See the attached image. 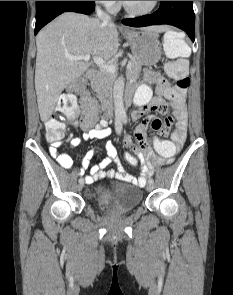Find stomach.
Instances as JSON below:
<instances>
[{
    "mask_svg": "<svg viewBox=\"0 0 233 295\" xmlns=\"http://www.w3.org/2000/svg\"><path fill=\"white\" fill-rule=\"evenodd\" d=\"M158 33L152 27L140 31L128 30L123 33L131 45L134 58L142 65L152 66L161 59L162 49Z\"/></svg>",
    "mask_w": 233,
    "mask_h": 295,
    "instance_id": "stomach-1",
    "label": "stomach"
}]
</instances>
